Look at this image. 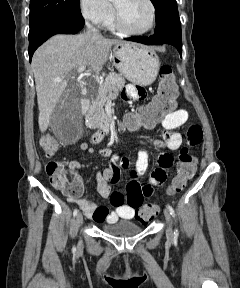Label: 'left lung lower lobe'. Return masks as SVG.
Listing matches in <instances>:
<instances>
[{
    "mask_svg": "<svg viewBox=\"0 0 240 288\" xmlns=\"http://www.w3.org/2000/svg\"><path fill=\"white\" fill-rule=\"evenodd\" d=\"M126 40L143 43L146 45H155V44H171L177 48L181 57H182V39L181 31H162L157 32L150 37H131L126 38Z\"/></svg>",
    "mask_w": 240,
    "mask_h": 288,
    "instance_id": "0a47b994",
    "label": "left lung lower lobe"
}]
</instances>
